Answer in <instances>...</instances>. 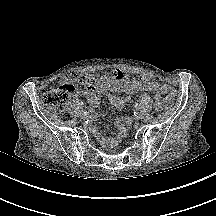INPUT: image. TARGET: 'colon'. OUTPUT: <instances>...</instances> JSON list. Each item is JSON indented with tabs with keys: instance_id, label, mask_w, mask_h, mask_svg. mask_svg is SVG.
Here are the masks:
<instances>
[{
	"instance_id": "1",
	"label": "colon",
	"mask_w": 216,
	"mask_h": 216,
	"mask_svg": "<svg viewBox=\"0 0 216 216\" xmlns=\"http://www.w3.org/2000/svg\"><path fill=\"white\" fill-rule=\"evenodd\" d=\"M78 82L87 83L88 79L86 76L71 72L59 86L43 95L42 102L56 112L63 111L75 93ZM161 94L165 107H171L175 103V94L172 89L163 88Z\"/></svg>"
}]
</instances>
